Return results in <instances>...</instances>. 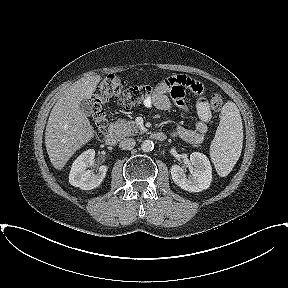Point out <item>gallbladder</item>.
I'll use <instances>...</instances> for the list:
<instances>
[{
    "label": "gallbladder",
    "instance_id": "gallbladder-1",
    "mask_svg": "<svg viewBox=\"0 0 288 288\" xmlns=\"http://www.w3.org/2000/svg\"><path fill=\"white\" fill-rule=\"evenodd\" d=\"M80 109L87 116H91L93 113L92 106L90 105V103L87 100L81 101Z\"/></svg>",
    "mask_w": 288,
    "mask_h": 288
}]
</instances>
